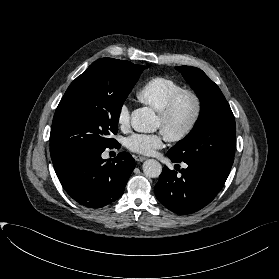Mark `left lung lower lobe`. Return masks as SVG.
<instances>
[{
    "mask_svg": "<svg viewBox=\"0 0 279 279\" xmlns=\"http://www.w3.org/2000/svg\"><path fill=\"white\" fill-rule=\"evenodd\" d=\"M168 156L172 162H178ZM187 164L186 169H181V175L164 167L155 186L159 202L179 215L194 213L209 204L228 177L207 165Z\"/></svg>",
    "mask_w": 279,
    "mask_h": 279,
    "instance_id": "0a47b994",
    "label": "left lung lower lobe"
}]
</instances>
